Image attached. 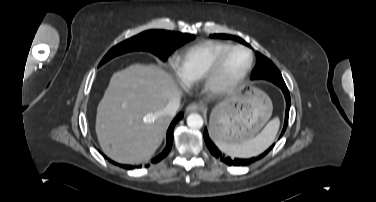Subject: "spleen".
Here are the masks:
<instances>
[{"label": "spleen", "mask_w": 376, "mask_h": 202, "mask_svg": "<svg viewBox=\"0 0 376 202\" xmlns=\"http://www.w3.org/2000/svg\"><path fill=\"white\" fill-rule=\"evenodd\" d=\"M279 125V118L276 117L271 120L265 126L262 132L253 139L240 144H229L216 141V145L221 151L232 157H253L265 151L273 143L277 135Z\"/></svg>", "instance_id": "3e777b00"}]
</instances>
